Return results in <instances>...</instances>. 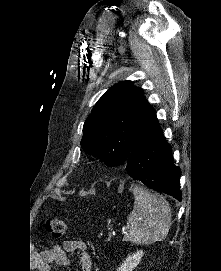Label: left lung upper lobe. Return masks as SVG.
I'll use <instances>...</instances> for the list:
<instances>
[{
	"label": "left lung upper lobe",
	"instance_id": "5c2ea615",
	"mask_svg": "<svg viewBox=\"0 0 221 271\" xmlns=\"http://www.w3.org/2000/svg\"><path fill=\"white\" fill-rule=\"evenodd\" d=\"M159 126L142 89L119 82L98 100L83 127L82 149L108 166L126 163L131 150Z\"/></svg>",
	"mask_w": 221,
	"mask_h": 271
}]
</instances>
